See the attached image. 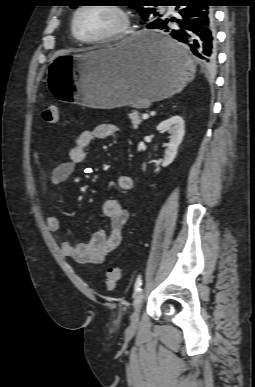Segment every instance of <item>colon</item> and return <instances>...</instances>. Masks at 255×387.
Returning <instances> with one entry per match:
<instances>
[{"label":"colon","mask_w":255,"mask_h":387,"mask_svg":"<svg viewBox=\"0 0 255 387\" xmlns=\"http://www.w3.org/2000/svg\"><path fill=\"white\" fill-rule=\"evenodd\" d=\"M41 119L47 123H56L60 118V110L56 105H50L41 111ZM121 277L119 266L110 267L105 274L104 284L108 291H113Z\"/></svg>","instance_id":"5ec220e1"}]
</instances>
